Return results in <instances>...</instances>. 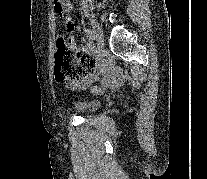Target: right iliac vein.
I'll return each instance as SVG.
<instances>
[{
	"label": "right iliac vein",
	"mask_w": 207,
	"mask_h": 179,
	"mask_svg": "<svg viewBox=\"0 0 207 179\" xmlns=\"http://www.w3.org/2000/svg\"><path fill=\"white\" fill-rule=\"evenodd\" d=\"M86 16L90 20V24L92 27V31L94 33V37L98 43V52L102 53L104 51V40H103L102 30L100 26L98 25L97 21L90 14L87 13Z\"/></svg>",
	"instance_id": "obj_1"
}]
</instances>
